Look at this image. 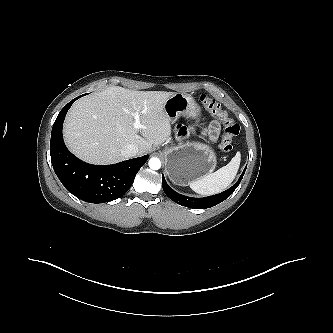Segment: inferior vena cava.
Instances as JSON below:
<instances>
[{
	"instance_id": "602c4592",
	"label": "inferior vena cava",
	"mask_w": 333,
	"mask_h": 333,
	"mask_svg": "<svg viewBox=\"0 0 333 333\" xmlns=\"http://www.w3.org/2000/svg\"><path fill=\"white\" fill-rule=\"evenodd\" d=\"M121 153L125 158L134 157L139 154V148L135 144H127L122 148Z\"/></svg>"
}]
</instances>
